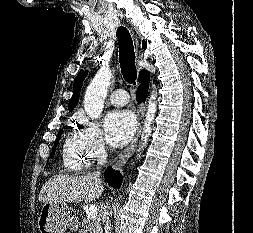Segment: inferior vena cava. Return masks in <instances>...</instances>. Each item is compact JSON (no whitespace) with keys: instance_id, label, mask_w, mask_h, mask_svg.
<instances>
[{"instance_id":"inferior-vena-cava-1","label":"inferior vena cava","mask_w":253,"mask_h":233,"mask_svg":"<svg viewBox=\"0 0 253 233\" xmlns=\"http://www.w3.org/2000/svg\"><path fill=\"white\" fill-rule=\"evenodd\" d=\"M92 176L98 180L99 179V176H100V171H96L92 174ZM101 209L103 211V215H102V219H103V222H104V229H105V233H111V222H110V219H109V213H108V209H107V206L105 204H102L101 205Z\"/></svg>"}]
</instances>
